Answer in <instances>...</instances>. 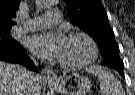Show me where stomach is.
Here are the masks:
<instances>
[{
    "label": "stomach",
    "instance_id": "stomach-1",
    "mask_svg": "<svg viewBox=\"0 0 135 95\" xmlns=\"http://www.w3.org/2000/svg\"><path fill=\"white\" fill-rule=\"evenodd\" d=\"M49 85L62 95H87L91 90L89 78L80 74H71Z\"/></svg>",
    "mask_w": 135,
    "mask_h": 95
}]
</instances>
